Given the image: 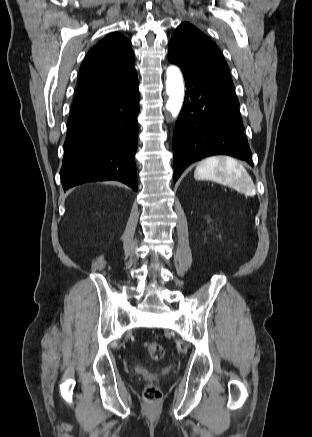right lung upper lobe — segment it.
Here are the masks:
<instances>
[{"label":"right lung upper lobe","mask_w":312,"mask_h":437,"mask_svg":"<svg viewBox=\"0 0 312 437\" xmlns=\"http://www.w3.org/2000/svg\"><path fill=\"white\" fill-rule=\"evenodd\" d=\"M137 72L130 41L118 32L107 35L87 54L71 110L97 102L130 82Z\"/></svg>","instance_id":"1"}]
</instances>
